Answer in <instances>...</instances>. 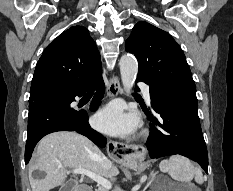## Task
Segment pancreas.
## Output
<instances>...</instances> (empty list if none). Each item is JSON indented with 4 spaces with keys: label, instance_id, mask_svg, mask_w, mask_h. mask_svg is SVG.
<instances>
[{
    "label": "pancreas",
    "instance_id": "cf45deb5",
    "mask_svg": "<svg viewBox=\"0 0 233 191\" xmlns=\"http://www.w3.org/2000/svg\"><path fill=\"white\" fill-rule=\"evenodd\" d=\"M96 191H107L106 188H98Z\"/></svg>",
    "mask_w": 233,
    "mask_h": 191
}]
</instances>
